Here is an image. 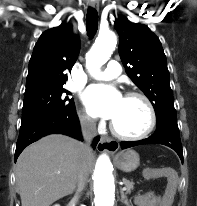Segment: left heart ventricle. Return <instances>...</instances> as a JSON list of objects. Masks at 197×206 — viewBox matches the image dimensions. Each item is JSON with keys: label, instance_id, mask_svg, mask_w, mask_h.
Listing matches in <instances>:
<instances>
[{"label": "left heart ventricle", "instance_id": "1", "mask_svg": "<svg viewBox=\"0 0 197 206\" xmlns=\"http://www.w3.org/2000/svg\"><path fill=\"white\" fill-rule=\"evenodd\" d=\"M149 122L144 102L138 98H123L118 114L113 119L116 128L126 134L143 132Z\"/></svg>", "mask_w": 197, "mask_h": 206}]
</instances>
